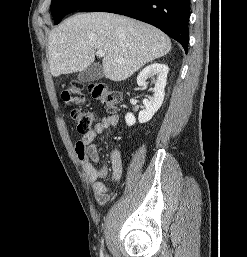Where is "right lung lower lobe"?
I'll return each instance as SVG.
<instances>
[{
	"instance_id": "98d812e1",
	"label": "right lung lower lobe",
	"mask_w": 247,
	"mask_h": 257,
	"mask_svg": "<svg viewBox=\"0 0 247 257\" xmlns=\"http://www.w3.org/2000/svg\"><path fill=\"white\" fill-rule=\"evenodd\" d=\"M80 12H110L129 16L161 29L188 51L190 0H92Z\"/></svg>"
}]
</instances>
